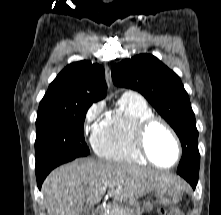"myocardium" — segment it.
<instances>
[{
	"label": "myocardium",
	"instance_id": "obj_1",
	"mask_svg": "<svg viewBox=\"0 0 221 215\" xmlns=\"http://www.w3.org/2000/svg\"><path fill=\"white\" fill-rule=\"evenodd\" d=\"M154 125H161L165 130H167V132L170 134V136L172 137L176 145L177 155H176L175 161L171 165L163 166V165L158 164L149 153V150L147 147V135H148L149 130ZM134 143L138 152L142 155V157L147 162L161 169H171L175 167L179 163L181 156H182L181 142L175 130L164 119L154 116V115L144 119L138 124L134 133Z\"/></svg>",
	"mask_w": 221,
	"mask_h": 215
}]
</instances>
